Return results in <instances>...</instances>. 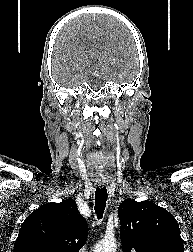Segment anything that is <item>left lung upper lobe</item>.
<instances>
[{
    "mask_svg": "<svg viewBox=\"0 0 193 252\" xmlns=\"http://www.w3.org/2000/svg\"><path fill=\"white\" fill-rule=\"evenodd\" d=\"M118 213L123 252H184L179 225L164 208L126 199Z\"/></svg>",
    "mask_w": 193,
    "mask_h": 252,
    "instance_id": "obj_1",
    "label": "left lung upper lobe"
}]
</instances>
